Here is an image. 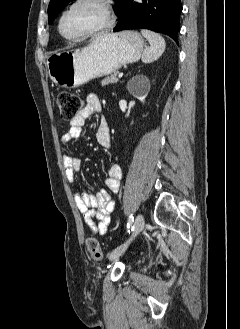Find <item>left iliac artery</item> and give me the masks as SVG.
I'll use <instances>...</instances> for the list:
<instances>
[{
    "label": "left iliac artery",
    "mask_w": 240,
    "mask_h": 329,
    "mask_svg": "<svg viewBox=\"0 0 240 329\" xmlns=\"http://www.w3.org/2000/svg\"><path fill=\"white\" fill-rule=\"evenodd\" d=\"M133 221H134V217H133V215L131 214V215L129 216L128 223H127V229H128V232H129V233H130V228L132 227Z\"/></svg>",
    "instance_id": "obj_1"
}]
</instances>
